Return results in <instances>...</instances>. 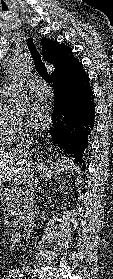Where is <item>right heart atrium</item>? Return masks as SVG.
Listing matches in <instances>:
<instances>
[{
	"mask_svg": "<svg viewBox=\"0 0 113 279\" xmlns=\"http://www.w3.org/2000/svg\"><path fill=\"white\" fill-rule=\"evenodd\" d=\"M14 136L21 137L25 136L30 132L29 127L23 121L14 122Z\"/></svg>",
	"mask_w": 113,
	"mask_h": 279,
	"instance_id": "right-heart-atrium-1",
	"label": "right heart atrium"
}]
</instances>
